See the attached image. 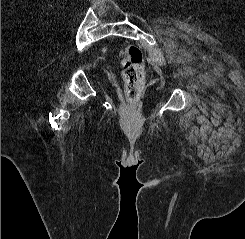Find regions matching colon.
<instances>
[{
	"mask_svg": "<svg viewBox=\"0 0 245 239\" xmlns=\"http://www.w3.org/2000/svg\"><path fill=\"white\" fill-rule=\"evenodd\" d=\"M125 83V94L130 104L140 97L145 80V61L141 49L136 45L127 46L120 59Z\"/></svg>",
	"mask_w": 245,
	"mask_h": 239,
	"instance_id": "colon-1",
	"label": "colon"
}]
</instances>
